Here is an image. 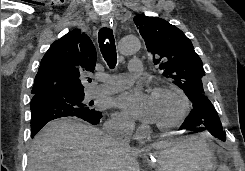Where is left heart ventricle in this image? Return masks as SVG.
<instances>
[{
	"mask_svg": "<svg viewBox=\"0 0 245 171\" xmlns=\"http://www.w3.org/2000/svg\"><path fill=\"white\" fill-rule=\"evenodd\" d=\"M155 122L165 123L170 121L178 113L180 109V102L178 98L172 93H160L152 95Z\"/></svg>",
	"mask_w": 245,
	"mask_h": 171,
	"instance_id": "1",
	"label": "left heart ventricle"
}]
</instances>
